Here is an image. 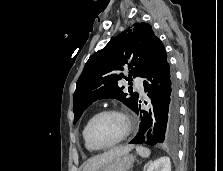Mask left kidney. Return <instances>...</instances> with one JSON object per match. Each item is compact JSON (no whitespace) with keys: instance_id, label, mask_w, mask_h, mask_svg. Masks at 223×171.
Masks as SVG:
<instances>
[{"instance_id":"left-kidney-1","label":"left kidney","mask_w":223,"mask_h":171,"mask_svg":"<svg viewBox=\"0 0 223 171\" xmlns=\"http://www.w3.org/2000/svg\"><path fill=\"white\" fill-rule=\"evenodd\" d=\"M146 171H171L170 158L167 156L158 158L149 165Z\"/></svg>"}]
</instances>
